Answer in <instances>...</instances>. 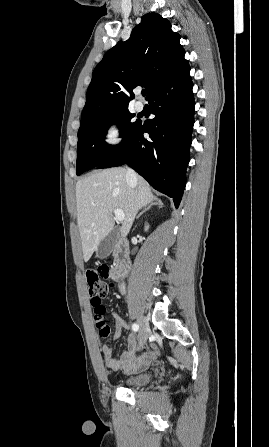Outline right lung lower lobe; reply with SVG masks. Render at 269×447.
Listing matches in <instances>:
<instances>
[{"label":"right lung lower lobe","instance_id":"98d812e1","mask_svg":"<svg viewBox=\"0 0 269 447\" xmlns=\"http://www.w3.org/2000/svg\"><path fill=\"white\" fill-rule=\"evenodd\" d=\"M187 63L147 98L155 118L140 123L120 149L96 168L129 165L156 190L173 198L176 208L186 184L194 124V97ZM149 133L151 140L144 138Z\"/></svg>","mask_w":269,"mask_h":447}]
</instances>
